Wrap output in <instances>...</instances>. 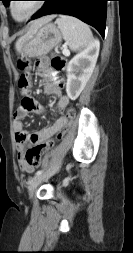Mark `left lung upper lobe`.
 Returning a JSON list of instances; mask_svg holds the SVG:
<instances>
[{
    "instance_id": "obj_1",
    "label": "left lung upper lobe",
    "mask_w": 133,
    "mask_h": 253,
    "mask_svg": "<svg viewBox=\"0 0 133 253\" xmlns=\"http://www.w3.org/2000/svg\"><path fill=\"white\" fill-rule=\"evenodd\" d=\"M0 1H2V2L4 3L5 6H8V3H9L10 1H12V0H0Z\"/></svg>"
}]
</instances>
